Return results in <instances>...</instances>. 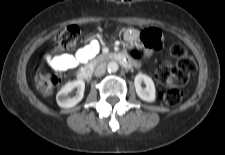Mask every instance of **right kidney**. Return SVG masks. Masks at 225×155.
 <instances>
[{
	"instance_id": "1",
	"label": "right kidney",
	"mask_w": 225,
	"mask_h": 155,
	"mask_svg": "<svg viewBox=\"0 0 225 155\" xmlns=\"http://www.w3.org/2000/svg\"><path fill=\"white\" fill-rule=\"evenodd\" d=\"M77 88V94L69 97L68 94ZM85 83L82 80H76L66 83L56 95L57 104L62 108H71L78 104L84 96Z\"/></svg>"
}]
</instances>
